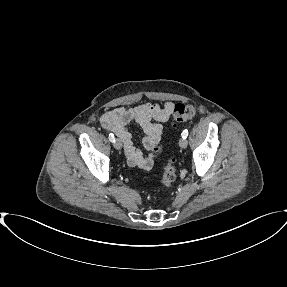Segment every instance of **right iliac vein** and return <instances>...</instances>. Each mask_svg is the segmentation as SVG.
<instances>
[{
	"label": "right iliac vein",
	"mask_w": 287,
	"mask_h": 287,
	"mask_svg": "<svg viewBox=\"0 0 287 287\" xmlns=\"http://www.w3.org/2000/svg\"><path fill=\"white\" fill-rule=\"evenodd\" d=\"M113 145L117 150H120L122 148V142L120 139H116Z\"/></svg>",
	"instance_id": "obj_1"
}]
</instances>
